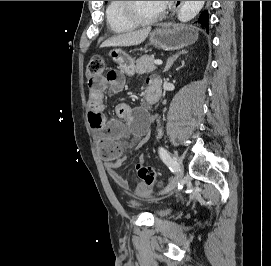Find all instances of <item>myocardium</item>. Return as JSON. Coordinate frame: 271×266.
<instances>
[{
  "mask_svg": "<svg viewBox=\"0 0 271 266\" xmlns=\"http://www.w3.org/2000/svg\"><path fill=\"white\" fill-rule=\"evenodd\" d=\"M122 15L134 25H150L159 21L164 15V7L154 16L149 18L140 17L133 8V1H120Z\"/></svg>",
  "mask_w": 271,
  "mask_h": 266,
  "instance_id": "f54148a6",
  "label": "myocardium"
}]
</instances>
